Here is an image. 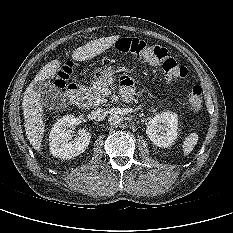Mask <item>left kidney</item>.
I'll return each instance as SVG.
<instances>
[{"instance_id":"left-kidney-1","label":"left kidney","mask_w":233,"mask_h":233,"mask_svg":"<svg viewBox=\"0 0 233 233\" xmlns=\"http://www.w3.org/2000/svg\"><path fill=\"white\" fill-rule=\"evenodd\" d=\"M146 134L158 147L173 145L178 135L177 114L170 111L157 114L148 122Z\"/></svg>"}]
</instances>
